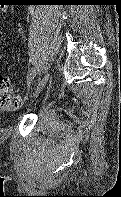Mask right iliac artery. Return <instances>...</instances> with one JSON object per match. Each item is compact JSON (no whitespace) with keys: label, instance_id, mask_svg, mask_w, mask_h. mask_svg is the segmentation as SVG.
I'll list each match as a JSON object with an SVG mask.
<instances>
[{"label":"right iliac artery","instance_id":"82829eb1","mask_svg":"<svg viewBox=\"0 0 121 197\" xmlns=\"http://www.w3.org/2000/svg\"><path fill=\"white\" fill-rule=\"evenodd\" d=\"M38 73H39V69L38 68L37 69H33L29 73V75H28V84H29V86L33 85V82H34V80H35V78H36Z\"/></svg>","mask_w":121,"mask_h":197}]
</instances>
